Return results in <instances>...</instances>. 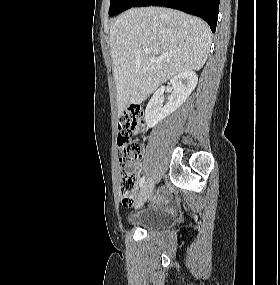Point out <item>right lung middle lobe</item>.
I'll list each match as a JSON object with an SVG mask.
<instances>
[{
	"mask_svg": "<svg viewBox=\"0 0 280 285\" xmlns=\"http://www.w3.org/2000/svg\"><path fill=\"white\" fill-rule=\"evenodd\" d=\"M138 0H110L109 15L119 14L131 8Z\"/></svg>",
	"mask_w": 280,
	"mask_h": 285,
	"instance_id": "right-lung-middle-lobe-1",
	"label": "right lung middle lobe"
}]
</instances>
